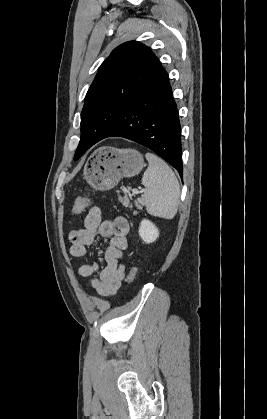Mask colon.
Masks as SVG:
<instances>
[{
    "label": "colon",
    "instance_id": "colon-1",
    "mask_svg": "<svg viewBox=\"0 0 267 419\" xmlns=\"http://www.w3.org/2000/svg\"><path fill=\"white\" fill-rule=\"evenodd\" d=\"M91 202H92L91 199H88V198H78L72 207V210H71L72 214L77 215V214L83 213L85 209L91 204ZM136 274H137V268L132 267L127 276V282L129 284L135 280Z\"/></svg>",
    "mask_w": 267,
    "mask_h": 419
}]
</instances>
